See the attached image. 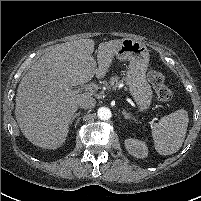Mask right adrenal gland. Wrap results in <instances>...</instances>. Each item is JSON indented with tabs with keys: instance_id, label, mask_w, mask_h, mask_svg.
Listing matches in <instances>:
<instances>
[{
	"instance_id": "obj_1",
	"label": "right adrenal gland",
	"mask_w": 201,
	"mask_h": 201,
	"mask_svg": "<svg viewBox=\"0 0 201 201\" xmlns=\"http://www.w3.org/2000/svg\"><path fill=\"white\" fill-rule=\"evenodd\" d=\"M80 114H81V112H80V111H79V112H77V113H75V114L73 115V117H72L71 121H70V124H72V123H73V121L75 120V118L79 117V116H80Z\"/></svg>"
}]
</instances>
